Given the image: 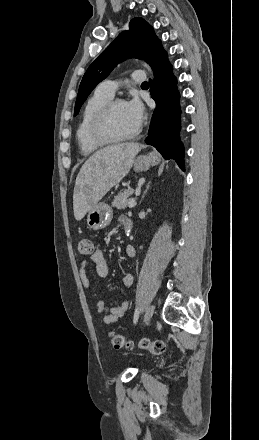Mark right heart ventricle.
Listing matches in <instances>:
<instances>
[{
  "instance_id": "obj_1",
  "label": "right heart ventricle",
  "mask_w": 259,
  "mask_h": 440,
  "mask_svg": "<svg viewBox=\"0 0 259 440\" xmlns=\"http://www.w3.org/2000/svg\"><path fill=\"white\" fill-rule=\"evenodd\" d=\"M111 99V96L97 89L94 94L86 101L83 107L81 117L76 129V141L81 152L85 155L92 154L105 145L97 143L91 139L89 135V127L97 111Z\"/></svg>"
}]
</instances>
